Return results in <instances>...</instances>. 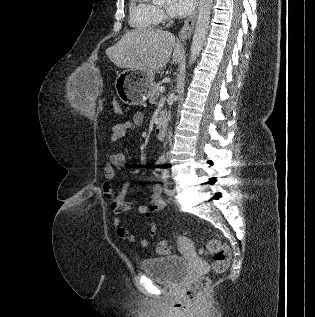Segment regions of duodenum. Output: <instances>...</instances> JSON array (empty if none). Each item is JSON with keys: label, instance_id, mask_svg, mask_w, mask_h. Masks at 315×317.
I'll list each match as a JSON object with an SVG mask.
<instances>
[{"label": "duodenum", "instance_id": "duodenum-1", "mask_svg": "<svg viewBox=\"0 0 315 317\" xmlns=\"http://www.w3.org/2000/svg\"><path fill=\"white\" fill-rule=\"evenodd\" d=\"M166 126H167V116L165 112H162L158 118L156 128H155V135L158 138H162L164 136Z\"/></svg>", "mask_w": 315, "mask_h": 317}]
</instances>
